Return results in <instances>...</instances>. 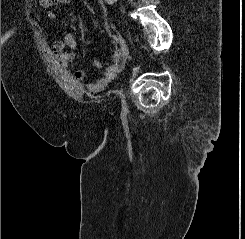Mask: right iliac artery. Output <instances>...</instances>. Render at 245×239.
<instances>
[{"instance_id":"82829eb1","label":"right iliac artery","mask_w":245,"mask_h":239,"mask_svg":"<svg viewBox=\"0 0 245 239\" xmlns=\"http://www.w3.org/2000/svg\"><path fill=\"white\" fill-rule=\"evenodd\" d=\"M109 36L112 38V41H113L114 44H120L121 50L123 52V47H122V45L120 43L119 38H117V36H115V35H112L111 33H109Z\"/></svg>"}]
</instances>
